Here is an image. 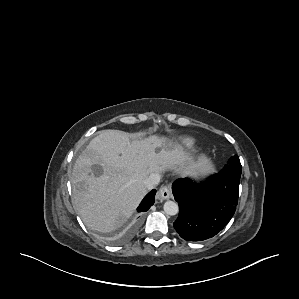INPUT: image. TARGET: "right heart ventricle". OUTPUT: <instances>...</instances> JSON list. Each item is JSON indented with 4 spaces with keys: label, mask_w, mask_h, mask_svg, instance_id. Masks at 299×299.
Wrapping results in <instances>:
<instances>
[{
    "label": "right heart ventricle",
    "mask_w": 299,
    "mask_h": 299,
    "mask_svg": "<svg viewBox=\"0 0 299 299\" xmlns=\"http://www.w3.org/2000/svg\"><path fill=\"white\" fill-rule=\"evenodd\" d=\"M196 146V142L192 138L180 139L173 147L172 153L176 156L192 151Z\"/></svg>",
    "instance_id": "1"
}]
</instances>
